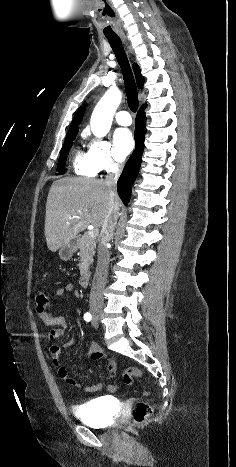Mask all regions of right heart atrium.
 <instances>
[{"label":"right heart atrium","instance_id":"1","mask_svg":"<svg viewBox=\"0 0 236 467\" xmlns=\"http://www.w3.org/2000/svg\"><path fill=\"white\" fill-rule=\"evenodd\" d=\"M87 157L97 173L114 171L121 164L111 143L104 139L89 140Z\"/></svg>","mask_w":236,"mask_h":467}]
</instances>
